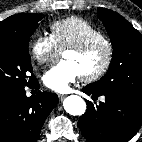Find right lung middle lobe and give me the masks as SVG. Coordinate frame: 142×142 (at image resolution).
<instances>
[{"label": "right lung middle lobe", "instance_id": "1", "mask_svg": "<svg viewBox=\"0 0 142 142\" xmlns=\"http://www.w3.org/2000/svg\"><path fill=\"white\" fill-rule=\"evenodd\" d=\"M41 19L38 14L23 13L0 23V96L7 97L36 81L28 46Z\"/></svg>", "mask_w": 142, "mask_h": 142}]
</instances>
